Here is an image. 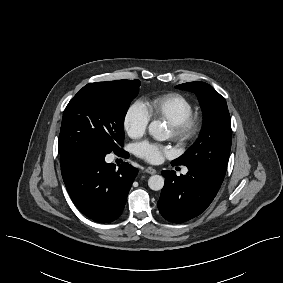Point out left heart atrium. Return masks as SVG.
<instances>
[{"label":"left heart atrium","instance_id":"obj_1","mask_svg":"<svg viewBox=\"0 0 283 283\" xmlns=\"http://www.w3.org/2000/svg\"><path fill=\"white\" fill-rule=\"evenodd\" d=\"M136 152L138 156L150 163H159L170 153V150L158 143L142 142L137 145Z\"/></svg>","mask_w":283,"mask_h":283}]
</instances>
